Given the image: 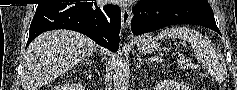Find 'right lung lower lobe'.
Segmentation results:
<instances>
[{"instance_id": "obj_1", "label": "right lung lower lobe", "mask_w": 237, "mask_h": 90, "mask_svg": "<svg viewBox=\"0 0 237 90\" xmlns=\"http://www.w3.org/2000/svg\"><path fill=\"white\" fill-rule=\"evenodd\" d=\"M121 11L118 6L98 7L95 2L38 4L26 47L41 33L68 29L85 34L115 52L119 47Z\"/></svg>"}]
</instances>
